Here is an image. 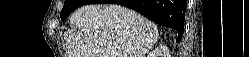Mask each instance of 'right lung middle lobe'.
<instances>
[{"label": "right lung middle lobe", "mask_w": 249, "mask_h": 57, "mask_svg": "<svg viewBox=\"0 0 249 57\" xmlns=\"http://www.w3.org/2000/svg\"><path fill=\"white\" fill-rule=\"evenodd\" d=\"M91 2L92 0H65L64 7L60 13L61 19H66L76 8Z\"/></svg>", "instance_id": "dd1d6c3e"}]
</instances>
